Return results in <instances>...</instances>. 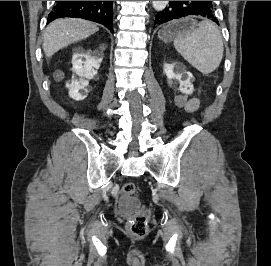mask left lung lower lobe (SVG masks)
Returning a JSON list of instances; mask_svg holds the SVG:
<instances>
[{"instance_id":"1","label":"left lung lower lobe","mask_w":271,"mask_h":266,"mask_svg":"<svg viewBox=\"0 0 271 266\" xmlns=\"http://www.w3.org/2000/svg\"><path fill=\"white\" fill-rule=\"evenodd\" d=\"M189 15H200L218 24L212 1H169V6L156 15L154 24L160 25Z\"/></svg>"}]
</instances>
